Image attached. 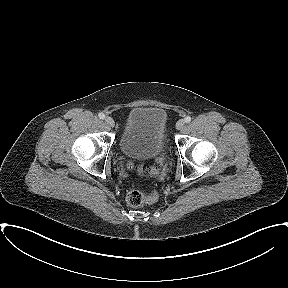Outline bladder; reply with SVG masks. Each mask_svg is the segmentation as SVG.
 Instances as JSON below:
<instances>
[{"label": "bladder", "instance_id": "1", "mask_svg": "<svg viewBox=\"0 0 288 288\" xmlns=\"http://www.w3.org/2000/svg\"><path fill=\"white\" fill-rule=\"evenodd\" d=\"M167 115L159 107L133 108L119 139L121 151L133 158H149L164 151L167 145Z\"/></svg>", "mask_w": 288, "mask_h": 288}]
</instances>
